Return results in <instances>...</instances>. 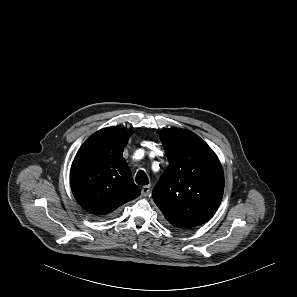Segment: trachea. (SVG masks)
I'll list each match as a JSON object with an SVG mask.
<instances>
[{
    "label": "trachea",
    "mask_w": 297,
    "mask_h": 297,
    "mask_svg": "<svg viewBox=\"0 0 297 297\" xmlns=\"http://www.w3.org/2000/svg\"><path fill=\"white\" fill-rule=\"evenodd\" d=\"M136 183L145 186L149 183L148 177L143 170H139L136 175Z\"/></svg>",
    "instance_id": "3493384b"
}]
</instances>
